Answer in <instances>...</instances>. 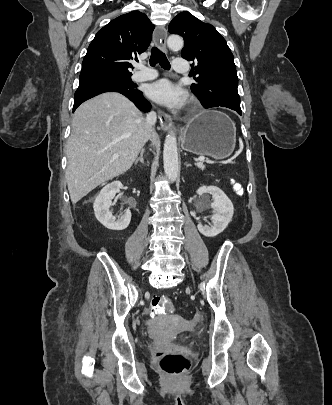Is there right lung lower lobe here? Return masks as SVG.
I'll use <instances>...</instances> for the list:
<instances>
[{
  "label": "right lung lower lobe",
  "instance_id": "obj_1",
  "mask_svg": "<svg viewBox=\"0 0 332 405\" xmlns=\"http://www.w3.org/2000/svg\"><path fill=\"white\" fill-rule=\"evenodd\" d=\"M104 92H119L125 95L141 111H149L151 108V104L143 97L142 92L137 89H127L113 84H96L76 90L73 112L84 101Z\"/></svg>",
  "mask_w": 332,
  "mask_h": 405
}]
</instances>
